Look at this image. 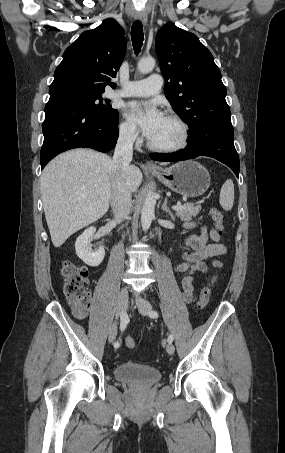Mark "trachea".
Listing matches in <instances>:
<instances>
[{
  "label": "trachea",
  "mask_w": 285,
  "mask_h": 453,
  "mask_svg": "<svg viewBox=\"0 0 285 453\" xmlns=\"http://www.w3.org/2000/svg\"><path fill=\"white\" fill-rule=\"evenodd\" d=\"M131 40L132 45L135 51V54H138L141 51V47L144 41V33L142 23L140 21H135L131 27Z\"/></svg>",
  "instance_id": "trachea-1"
}]
</instances>
